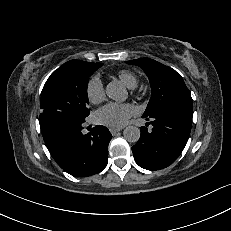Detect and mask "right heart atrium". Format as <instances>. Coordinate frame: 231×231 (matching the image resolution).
<instances>
[{
    "label": "right heart atrium",
    "instance_id": "d8ad5b80",
    "mask_svg": "<svg viewBox=\"0 0 231 231\" xmlns=\"http://www.w3.org/2000/svg\"><path fill=\"white\" fill-rule=\"evenodd\" d=\"M86 94L90 102L99 103L104 99V87L98 77L91 78L86 86Z\"/></svg>",
    "mask_w": 231,
    "mask_h": 231
}]
</instances>
